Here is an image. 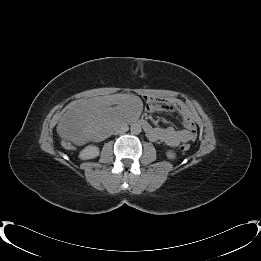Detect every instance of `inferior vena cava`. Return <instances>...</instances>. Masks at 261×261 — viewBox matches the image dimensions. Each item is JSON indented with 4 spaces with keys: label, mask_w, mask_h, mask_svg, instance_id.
<instances>
[{
    "label": "inferior vena cava",
    "mask_w": 261,
    "mask_h": 261,
    "mask_svg": "<svg viewBox=\"0 0 261 261\" xmlns=\"http://www.w3.org/2000/svg\"><path fill=\"white\" fill-rule=\"evenodd\" d=\"M128 130H129V127H128L127 124H121V125L118 127V129L116 130V132L119 133V134H123V133H125V132L128 131Z\"/></svg>",
    "instance_id": "602c4592"
}]
</instances>
